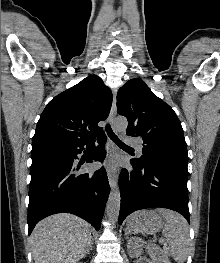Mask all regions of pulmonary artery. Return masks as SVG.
<instances>
[{
    "label": "pulmonary artery",
    "instance_id": "e3ab8cb5",
    "mask_svg": "<svg viewBox=\"0 0 220 263\" xmlns=\"http://www.w3.org/2000/svg\"><path fill=\"white\" fill-rule=\"evenodd\" d=\"M125 141H126L129 145L135 146V147L137 148L139 154L142 153V147H141V145L139 144V142H138L136 139H134V138H132V137H130V136H127V137H125Z\"/></svg>",
    "mask_w": 220,
    "mask_h": 263
}]
</instances>
